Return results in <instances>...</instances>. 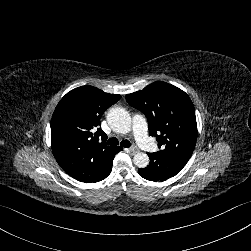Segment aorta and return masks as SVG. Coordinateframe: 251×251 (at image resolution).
Masks as SVG:
<instances>
[{
  "mask_svg": "<svg viewBox=\"0 0 251 251\" xmlns=\"http://www.w3.org/2000/svg\"><path fill=\"white\" fill-rule=\"evenodd\" d=\"M107 122L116 133H127L131 128V117L129 113L120 107L111 108L107 114ZM133 162L138 168H145L149 164V157L146 153L137 152L134 154Z\"/></svg>",
  "mask_w": 251,
  "mask_h": 251,
  "instance_id": "aorta-1",
  "label": "aorta"
}]
</instances>
